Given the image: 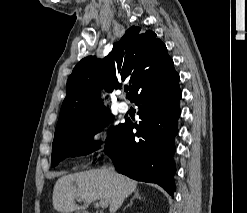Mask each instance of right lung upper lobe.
Masks as SVG:
<instances>
[{
  "mask_svg": "<svg viewBox=\"0 0 247 213\" xmlns=\"http://www.w3.org/2000/svg\"><path fill=\"white\" fill-rule=\"evenodd\" d=\"M171 67L173 60L156 34L131 27L104 59L90 56L75 66L67 81V95L55 134L84 125L106 111L100 98L101 88L111 92L120 87L118 79L130 78L127 98L131 100L141 87Z\"/></svg>",
  "mask_w": 247,
  "mask_h": 213,
  "instance_id": "obj_1",
  "label": "right lung upper lobe"
}]
</instances>
